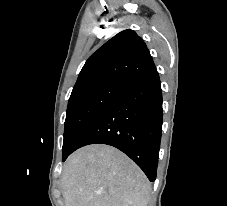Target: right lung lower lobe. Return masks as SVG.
Returning <instances> with one entry per match:
<instances>
[{"label": "right lung lower lobe", "instance_id": "98d812e1", "mask_svg": "<svg viewBox=\"0 0 227 206\" xmlns=\"http://www.w3.org/2000/svg\"><path fill=\"white\" fill-rule=\"evenodd\" d=\"M161 131L162 90L154 67L128 81L125 91L91 123L72 152L94 143L114 146L154 181Z\"/></svg>", "mask_w": 227, "mask_h": 206}]
</instances>
